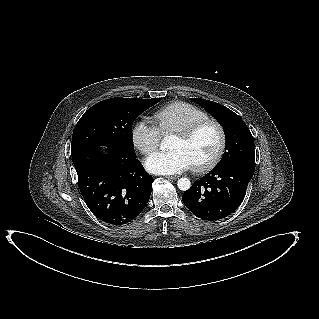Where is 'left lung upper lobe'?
Masks as SVG:
<instances>
[{"label": "left lung upper lobe", "mask_w": 319, "mask_h": 319, "mask_svg": "<svg viewBox=\"0 0 319 319\" xmlns=\"http://www.w3.org/2000/svg\"><path fill=\"white\" fill-rule=\"evenodd\" d=\"M209 112L223 127L226 145L221 161L214 168L243 164L255 168L254 139L245 122L227 107L205 99L191 98Z\"/></svg>", "instance_id": "5c2ea615"}]
</instances>
